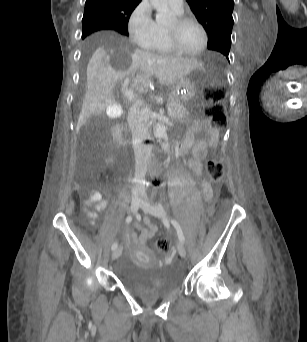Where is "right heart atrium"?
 <instances>
[{"label":"right heart atrium","mask_w":307,"mask_h":342,"mask_svg":"<svg viewBox=\"0 0 307 342\" xmlns=\"http://www.w3.org/2000/svg\"><path fill=\"white\" fill-rule=\"evenodd\" d=\"M127 32L130 41L139 46L149 44L160 35L150 12L143 5H139L128 16Z\"/></svg>","instance_id":"d8ad5b80"}]
</instances>
